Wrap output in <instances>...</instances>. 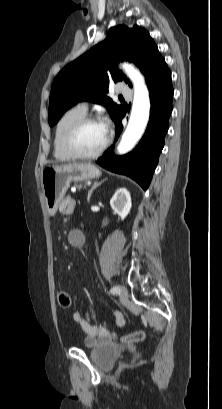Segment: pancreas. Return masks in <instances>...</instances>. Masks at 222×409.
I'll return each mask as SVG.
<instances>
[{
	"instance_id": "1",
	"label": "pancreas",
	"mask_w": 222,
	"mask_h": 409,
	"mask_svg": "<svg viewBox=\"0 0 222 409\" xmlns=\"http://www.w3.org/2000/svg\"><path fill=\"white\" fill-rule=\"evenodd\" d=\"M77 187L80 189L82 187H85V185L79 184V185H77Z\"/></svg>"
}]
</instances>
